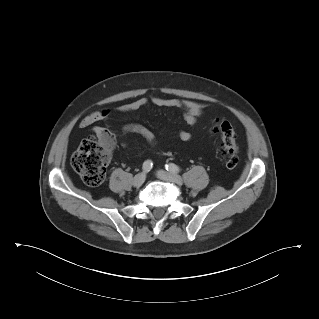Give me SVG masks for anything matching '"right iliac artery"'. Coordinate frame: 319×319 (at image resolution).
<instances>
[{
    "label": "right iliac artery",
    "mask_w": 319,
    "mask_h": 319,
    "mask_svg": "<svg viewBox=\"0 0 319 319\" xmlns=\"http://www.w3.org/2000/svg\"><path fill=\"white\" fill-rule=\"evenodd\" d=\"M153 163L151 160H147L143 163V171L144 172H149L152 169Z\"/></svg>",
    "instance_id": "82829eb1"
}]
</instances>
